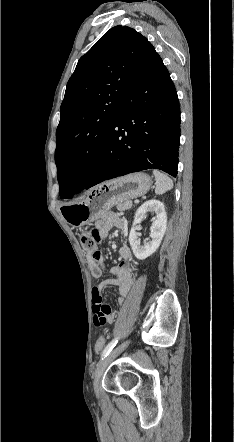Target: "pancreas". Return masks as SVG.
<instances>
[{
  "instance_id": "obj_1",
  "label": "pancreas",
  "mask_w": 234,
  "mask_h": 442,
  "mask_svg": "<svg viewBox=\"0 0 234 442\" xmlns=\"http://www.w3.org/2000/svg\"><path fill=\"white\" fill-rule=\"evenodd\" d=\"M131 206H132V201L131 200H126V201L118 203L117 204V209L119 211H124V210L130 209Z\"/></svg>"
}]
</instances>
